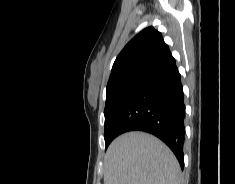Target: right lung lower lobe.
<instances>
[{"instance_id": "98d812e1", "label": "right lung lower lobe", "mask_w": 235, "mask_h": 184, "mask_svg": "<svg viewBox=\"0 0 235 184\" xmlns=\"http://www.w3.org/2000/svg\"><path fill=\"white\" fill-rule=\"evenodd\" d=\"M185 105L181 75L170 57L145 75L125 96L110 131L116 137L128 131H144L161 139L184 168Z\"/></svg>"}]
</instances>
